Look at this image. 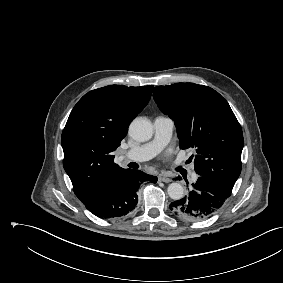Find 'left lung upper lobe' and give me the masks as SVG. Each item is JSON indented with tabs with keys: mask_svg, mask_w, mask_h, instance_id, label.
Returning a JSON list of instances; mask_svg holds the SVG:
<instances>
[{
	"mask_svg": "<svg viewBox=\"0 0 283 283\" xmlns=\"http://www.w3.org/2000/svg\"><path fill=\"white\" fill-rule=\"evenodd\" d=\"M153 97L174 120L180 148L196 150V173L234 186L242 167L243 133L228 102L194 83L157 86Z\"/></svg>",
	"mask_w": 283,
	"mask_h": 283,
	"instance_id": "1",
	"label": "left lung upper lobe"
}]
</instances>
